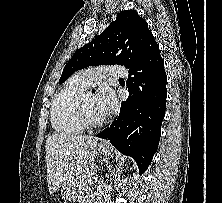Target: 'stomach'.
I'll return each instance as SVG.
<instances>
[{
    "instance_id": "obj_1",
    "label": "stomach",
    "mask_w": 222,
    "mask_h": 203,
    "mask_svg": "<svg viewBox=\"0 0 222 203\" xmlns=\"http://www.w3.org/2000/svg\"><path fill=\"white\" fill-rule=\"evenodd\" d=\"M99 152L105 155H113V149L109 147L99 146ZM80 186V179L75 177L73 180L67 182L62 188V197L66 200L72 199L78 191Z\"/></svg>"
}]
</instances>
